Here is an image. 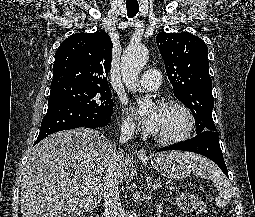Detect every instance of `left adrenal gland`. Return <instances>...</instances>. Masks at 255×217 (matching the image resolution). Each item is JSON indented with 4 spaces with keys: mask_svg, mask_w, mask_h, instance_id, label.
Here are the masks:
<instances>
[{
    "mask_svg": "<svg viewBox=\"0 0 255 217\" xmlns=\"http://www.w3.org/2000/svg\"><path fill=\"white\" fill-rule=\"evenodd\" d=\"M150 197L148 196V201H149ZM157 207V211L156 212H159V205L156 206Z\"/></svg>",
    "mask_w": 255,
    "mask_h": 217,
    "instance_id": "left-adrenal-gland-1",
    "label": "left adrenal gland"
}]
</instances>
